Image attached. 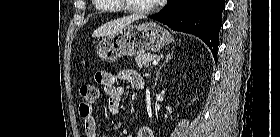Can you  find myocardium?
<instances>
[{
	"mask_svg": "<svg viewBox=\"0 0 280 137\" xmlns=\"http://www.w3.org/2000/svg\"><path fill=\"white\" fill-rule=\"evenodd\" d=\"M159 5H160L159 3H155L151 6H149L148 8H137V7H133L130 5H123V8L125 10H127L128 12H132V13L149 14V13L155 11Z\"/></svg>",
	"mask_w": 280,
	"mask_h": 137,
	"instance_id": "myocardium-1",
	"label": "myocardium"
}]
</instances>
